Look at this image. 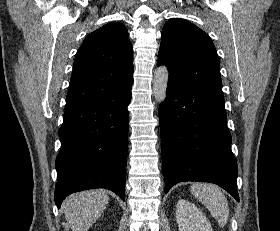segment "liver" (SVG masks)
I'll return each mask as SVG.
<instances>
[{"label":"liver","mask_w":280,"mask_h":231,"mask_svg":"<svg viewBox=\"0 0 280 231\" xmlns=\"http://www.w3.org/2000/svg\"><path fill=\"white\" fill-rule=\"evenodd\" d=\"M108 203V195L104 189H89L72 193L64 201L67 221L73 231H87L98 217H101Z\"/></svg>","instance_id":"liver-1"}]
</instances>
